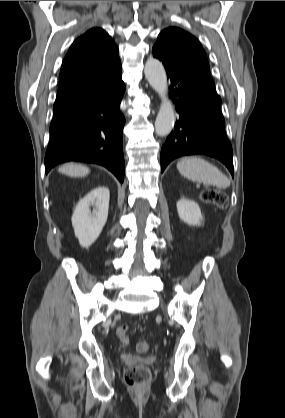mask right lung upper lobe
<instances>
[{
    "label": "right lung upper lobe",
    "instance_id": "right-lung-upper-lobe-1",
    "mask_svg": "<svg viewBox=\"0 0 285 418\" xmlns=\"http://www.w3.org/2000/svg\"><path fill=\"white\" fill-rule=\"evenodd\" d=\"M118 47L101 28H92L69 48L60 70L54 110L65 107L121 76Z\"/></svg>",
    "mask_w": 285,
    "mask_h": 418
}]
</instances>
